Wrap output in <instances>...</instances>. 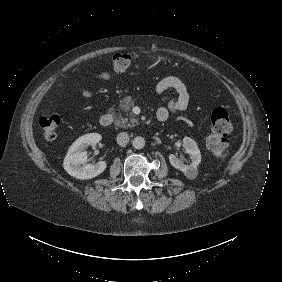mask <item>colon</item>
Returning <instances> with one entry per match:
<instances>
[{"mask_svg": "<svg viewBox=\"0 0 282 282\" xmlns=\"http://www.w3.org/2000/svg\"><path fill=\"white\" fill-rule=\"evenodd\" d=\"M139 58L138 53H117L113 57V67L118 72L129 69ZM61 120L58 115L51 114L40 120V130L46 140H52L57 136ZM231 117L224 108L215 109L210 117V131L206 139L207 150L216 158H224L227 155V137L231 131Z\"/></svg>", "mask_w": 282, "mask_h": 282, "instance_id": "5ec220e1", "label": "colon"}]
</instances>
